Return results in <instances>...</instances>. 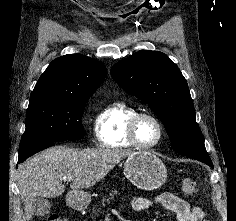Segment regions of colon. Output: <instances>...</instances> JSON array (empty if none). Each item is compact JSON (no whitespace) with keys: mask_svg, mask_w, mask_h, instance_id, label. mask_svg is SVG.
<instances>
[{"mask_svg":"<svg viewBox=\"0 0 236 221\" xmlns=\"http://www.w3.org/2000/svg\"><path fill=\"white\" fill-rule=\"evenodd\" d=\"M199 189V184L195 179L190 177H185L182 179V190L186 196H194L198 194ZM43 221H65V219L57 215H50Z\"/></svg>","mask_w":236,"mask_h":221,"instance_id":"5ec220e1","label":"colon"}]
</instances>
